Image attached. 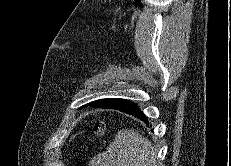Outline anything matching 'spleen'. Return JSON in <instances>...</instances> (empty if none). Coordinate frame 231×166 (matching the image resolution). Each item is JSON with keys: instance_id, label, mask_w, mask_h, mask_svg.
Returning <instances> with one entry per match:
<instances>
[{"instance_id": "spleen-1", "label": "spleen", "mask_w": 231, "mask_h": 166, "mask_svg": "<svg viewBox=\"0 0 231 166\" xmlns=\"http://www.w3.org/2000/svg\"><path fill=\"white\" fill-rule=\"evenodd\" d=\"M92 166H159L152 144L137 131L122 129L104 153L91 161Z\"/></svg>"}]
</instances>
